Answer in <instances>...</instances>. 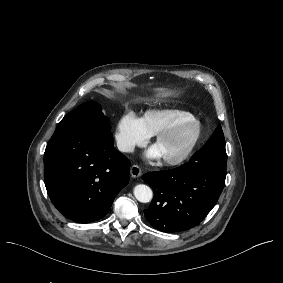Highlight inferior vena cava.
Listing matches in <instances>:
<instances>
[{"instance_id":"obj_1","label":"inferior vena cava","mask_w":283,"mask_h":283,"mask_svg":"<svg viewBox=\"0 0 283 283\" xmlns=\"http://www.w3.org/2000/svg\"><path fill=\"white\" fill-rule=\"evenodd\" d=\"M117 147L122 152H132L134 150V146L129 142H118Z\"/></svg>"}]
</instances>
